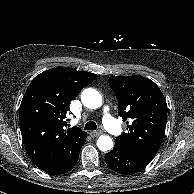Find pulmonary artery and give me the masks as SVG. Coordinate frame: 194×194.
Wrapping results in <instances>:
<instances>
[{"label":"pulmonary artery","mask_w":194,"mask_h":194,"mask_svg":"<svg viewBox=\"0 0 194 194\" xmlns=\"http://www.w3.org/2000/svg\"><path fill=\"white\" fill-rule=\"evenodd\" d=\"M102 122L104 127L114 135H119L122 132L120 125L111 116L109 108L106 107L103 110Z\"/></svg>","instance_id":"obj_1"}]
</instances>
